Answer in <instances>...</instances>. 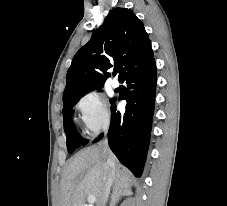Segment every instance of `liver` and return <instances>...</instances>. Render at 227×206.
<instances>
[{"label":"liver","mask_w":227,"mask_h":206,"mask_svg":"<svg viewBox=\"0 0 227 206\" xmlns=\"http://www.w3.org/2000/svg\"><path fill=\"white\" fill-rule=\"evenodd\" d=\"M112 158L114 174L105 168L107 155L103 153L101 145L90 146L76 153L62 177L59 206H85L88 195L95 196V206H102L110 179L113 192L117 193V202L131 186L132 176L121 169L113 154Z\"/></svg>","instance_id":"obj_1"}]
</instances>
